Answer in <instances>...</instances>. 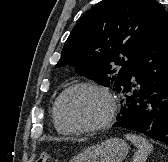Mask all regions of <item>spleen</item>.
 Returning <instances> with one entry per match:
<instances>
[{
	"label": "spleen",
	"mask_w": 168,
	"mask_h": 162,
	"mask_svg": "<svg viewBox=\"0 0 168 162\" xmlns=\"http://www.w3.org/2000/svg\"><path fill=\"white\" fill-rule=\"evenodd\" d=\"M125 137L138 149L134 154L133 162H145L148 155L153 150V145L139 135L128 133L125 135Z\"/></svg>",
	"instance_id": "obj_1"
}]
</instances>
